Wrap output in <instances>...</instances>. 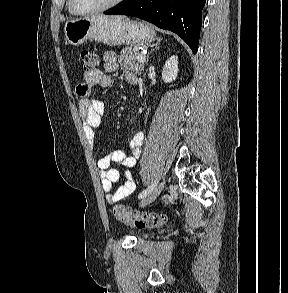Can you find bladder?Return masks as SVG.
<instances>
[{"mask_svg": "<svg viewBox=\"0 0 288 293\" xmlns=\"http://www.w3.org/2000/svg\"><path fill=\"white\" fill-rule=\"evenodd\" d=\"M148 236H149L148 233H142V234L140 235L141 238H146V237H148Z\"/></svg>", "mask_w": 288, "mask_h": 293, "instance_id": "31cf9c89", "label": "bladder"}]
</instances>
